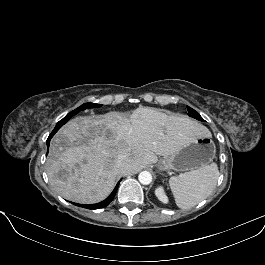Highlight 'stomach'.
<instances>
[{
    "label": "stomach",
    "mask_w": 265,
    "mask_h": 265,
    "mask_svg": "<svg viewBox=\"0 0 265 265\" xmlns=\"http://www.w3.org/2000/svg\"><path fill=\"white\" fill-rule=\"evenodd\" d=\"M216 149L210 134L189 136L170 156L158 163L159 170H196L212 162Z\"/></svg>",
    "instance_id": "stomach-1"
}]
</instances>
